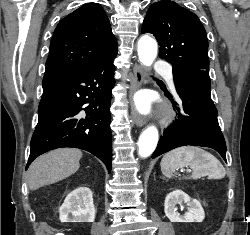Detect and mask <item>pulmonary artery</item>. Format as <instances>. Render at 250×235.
<instances>
[{
  "label": "pulmonary artery",
  "instance_id": "pulmonary-artery-1",
  "mask_svg": "<svg viewBox=\"0 0 250 235\" xmlns=\"http://www.w3.org/2000/svg\"><path fill=\"white\" fill-rule=\"evenodd\" d=\"M154 70L157 73L164 74L167 81L169 82V84L173 87V85H174L173 74H172L171 69H169L167 65L157 64V65H155Z\"/></svg>",
  "mask_w": 250,
  "mask_h": 235
}]
</instances>
